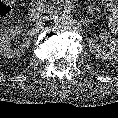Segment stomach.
<instances>
[{"instance_id":"stomach-1","label":"stomach","mask_w":118,"mask_h":118,"mask_svg":"<svg viewBox=\"0 0 118 118\" xmlns=\"http://www.w3.org/2000/svg\"><path fill=\"white\" fill-rule=\"evenodd\" d=\"M104 3H109V2H112V1H114V0H102ZM116 6H118V0H117V2H116Z\"/></svg>"}]
</instances>
